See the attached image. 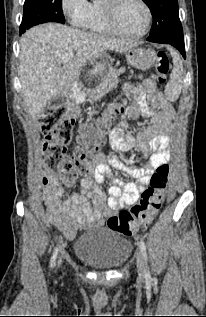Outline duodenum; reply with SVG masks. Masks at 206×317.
Wrapping results in <instances>:
<instances>
[{
  "mask_svg": "<svg viewBox=\"0 0 206 317\" xmlns=\"http://www.w3.org/2000/svg\"><path fill=\"white\" fill-rule=\"evenodd\" d=\"M67 110L69 115H80L81 102L80 100H67Z\"/></svg>",
  "mask_w": 206,
  "mask_h": 317,
  "instance_id": "1",
  "label": "duodenum"
}]
</instances>
